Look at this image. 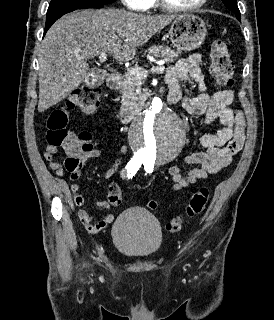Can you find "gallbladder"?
<instances>
[{"label": "gallbladder", "instance_id": "obj_1", "mask_svg": "<svg viewBox=\"0 0 274 320\" xmlns=\"http://www.w3.org/2000/svg\"><path fill=\"white\" fill-rule=\"evenodd\" d=\"M108 78L107 72H101L100 68H90L86 73V78H83V85H102V82Z\"/></svg>", "mask_w": 274, "mask_h": 320}]
</instances>
